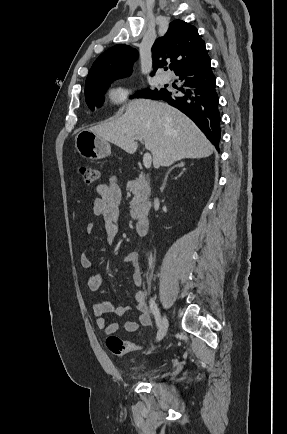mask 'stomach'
<instances>
[{"instance_id": "1", "label": "stomach", "mask_w": 287, "mask_h": 434, "mask_svg": "<svg viewBox=\"0 0 287 434\" xmlns=\"http://www.w3.org/2000/svg\"><path fill=\"white\" fill-rule=\"evenodd\" d=\"M75 148L82 157L89 160H99L111 154L108 141L89 129H82L77 133Z\"/></svg>"}]
</instances>
